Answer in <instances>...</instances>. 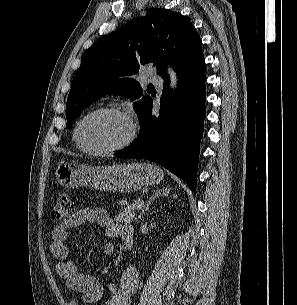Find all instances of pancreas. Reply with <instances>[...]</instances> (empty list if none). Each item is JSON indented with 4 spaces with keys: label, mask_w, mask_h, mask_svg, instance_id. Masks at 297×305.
Segmentation results:
<instances>
[{
    "label": "pancreas",
    "mask_w": 297,
    "mask_h": 305,
    "mask_svg": "<svg viewBox=\"0 0 297 305\" xmlns=\"http://www.w3.org/2000/svg\"><path fill=\"white\" fill-rule=\"evenodd\" d=\"M138 201L132 205H127L126 207L122 208L119 214L115 217V220L120 223H131L135 218L136 212L140 209L137 206Z\"/></svg>",
    "instance_id": "cf45deb5"
}]
</instances>
